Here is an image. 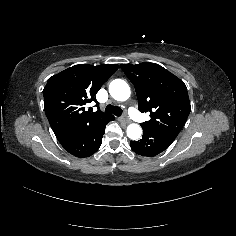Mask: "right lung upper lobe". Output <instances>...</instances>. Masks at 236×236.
<instances>
[{
	"mask_svg": "<svg viewBox=\"0 0 236 236\" xmlns=\"http://www.w3.org/2000/svg\"><path fill=\"white\" fill-rule=\"evenodd\" d=\"M118 69L116 64L74 65L49 78L44 90L45 113L58 140L101 119L114 116L100 110L90 112L85 105Z\"/></svg>",
	"mask_w": 236,
	"mask_h": 236,
	"instance_id": "cb5924a9",
	"label": "right lung upper lobe"
}]
</instances>
